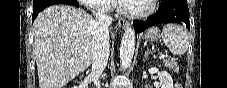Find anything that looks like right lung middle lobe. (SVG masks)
Masks as SVG:
<instances>
[{
    "instance_id": "right-lung-middle-lobe-1",
    "label": "right lung middle lobe",
    "mask_w": 227,
    "mask_h": 88,
    "mask_svg": "<svg viewBox=\"0 0 227 88\" xmlns=\"http://www.w3.org/2000/svg\"><path fill=\"white\" fill-rule=\"evenodd\" d=\"M64 3L70 4V5H74V6H78L77 0H65Z\"/></svg>"
}]
</instances>
